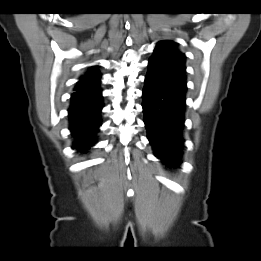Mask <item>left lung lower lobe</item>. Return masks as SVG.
Here are the masks:
<instances>
[{
  "label": "left lung lower lobe",
  "mask_w": 261,
  "mask_h": 261,
  "mask_svg": "<svg viewBox=\"0 0 261 261\" xmlns=\"http://www.w3.org/2000/svg\"><path fill=\"white\" fill-rule=\"evenodd\" d=\"M186 74L149 60L142 92L144 123L155 156L178 167L184 148Z\"/></svg>",
  "instance_id": "1"
}]
</instances>
